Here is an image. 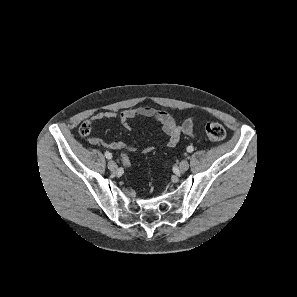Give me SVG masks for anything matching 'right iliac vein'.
Instances as JSON below:
<instances>
[{"label":"right iliac vein","instance_id":"obj_1","mask_svg":"<svg viewBox=\"0 0 297 297\" xmlns=\"http://www.w3.org/2000/svg\"><path fill=\"white\" fill-rule=\"evenodd\" d=\"M108 168L111 170V171H116L117 169H118V166H117V164H116V162L115 161H113V160H110L109 162H108Z\"/></svg>","mask_w":297,"mask_h":297}]
</instances>
